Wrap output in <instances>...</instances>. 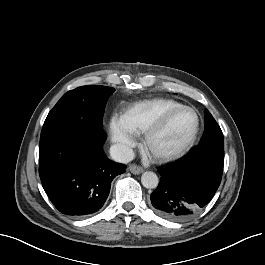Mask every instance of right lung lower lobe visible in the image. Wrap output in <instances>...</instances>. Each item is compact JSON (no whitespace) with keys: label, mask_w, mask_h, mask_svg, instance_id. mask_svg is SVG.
<instances>
[{"label":"right lung lower lobe","mask_w":265,"mask_h":265,"mask_svg":"<svg viewBox=\"0 0 265 265\" xmlns=\"http://www.w3.org/2000/svg\"><path fill=\"white\" fill-rule=\"evenodd\" d=\"M106 134L76 114L48 115L40 138L39 175L43 188L63 214L82 217L105 203L112 180L126 166L109 160Z\"/></svg>","instance_id":"1"}]
</instances>
